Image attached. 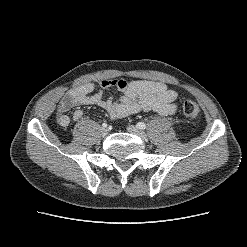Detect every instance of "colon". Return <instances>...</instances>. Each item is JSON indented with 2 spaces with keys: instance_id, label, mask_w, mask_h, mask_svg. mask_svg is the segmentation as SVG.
I'll use <instances>...</instances> for the list:
<instances>
[{
  "instance_id": "1",
  "label": "colon",
  "mask_w": 247,
  "mask_h": 247,
  "mask_svg": "<svg viewBox=\"0 0 247 247\" xmlns=\"http://www.w3.org/2000/svg\"><path fill=\"white\" fill-rule=\"evenodd\" d=\"M182 111L183 114L190 119L196 118L200 112L198 105L194 101L188 99L182 101Z\"/></svg>"
}]
</instances>
